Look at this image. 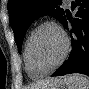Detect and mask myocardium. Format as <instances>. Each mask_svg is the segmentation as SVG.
Wrapping results in <instances>:
<instances>
[{
	"mask_svg": "<svg viewBox=\"0 0 89 89\" xmlns=\"http://www.w3.org/2000/svg\"><path fill=\"white\" fill-rule=\"evenodd\" d=\"M46 26L54 27L61 34V36L63 37V41H64V48H63V53H62L61 57L53 66H51L50 68H47V69H39L37 67L34 57H33L32 46H33V42H34L35 36L38 33V31ZM69 49H70V41H69L68 35L63 30V28L60 27L57 23H55L53 21H44V22L40 23L31 32L29 42H28V58H29L31 66L34 70L39 72L41 75H46V74H49L50 72L54 71L55 69H57L65 61V59L69 53Z\"/></svg>",
	"mask_w": 89,
	"mask_h": 89,
	"instance_id": "1",
	"label": "myocardium"
}]
</instances>
